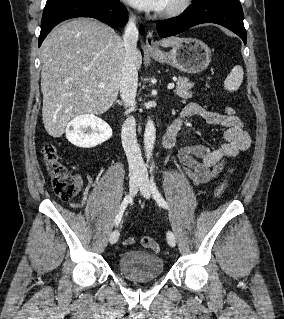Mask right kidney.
<instances>
[{
  "mask_svg": "<svg viewBox=\"0 0 284 319\" xmlns=\"http://www.w3.org/2000/svg\"><path fill=\"white\" fill-rule=\"evenodd\" d=\"M111 136V127L92 113L74 117L66 128V138L69 142L82 148L95 147Z\"/></svg>",
  "mask_w": 284,
  "mask_h": 319,
  "instance_id": "right-kidney-1",
  "label": "right kidney"
}]
</instances>
